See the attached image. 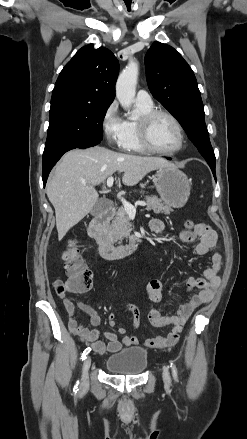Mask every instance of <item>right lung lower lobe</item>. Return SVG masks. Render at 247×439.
I'll use <instances>...</instances> for the list:
<instances>
[{
  "label": "right lung lower lobe",
  "mask_w": 247,
  "mask_h": 439,
  "mask_svg": "<svg viewBox=\"0 0 247 439\" xmlns=\"http://www.w3.org/2000/svg\"><path fill=\"white\" fill-rule=\"evenodd\" d=\"M64 153L56 155L54 157H51V158L47 159L46 161H43L42 179H43L44 186L46 184V181H47V178H48V175H49L51 169L56 164V162L62 157V155Z\"/></svg>",
  "instance_id": "98d812e1"
}]
</instances>
